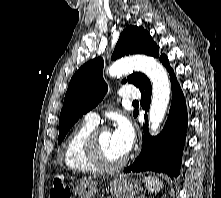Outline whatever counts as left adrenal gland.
<instances>
[{"label": "left adrenal gland", "mask_w": 221, "mask_h": 198, "mask_svg": "<svg viewBox=\"0 0 221 198\" xmlns=\"http://www.w3.org/2000/svg\"><path fill=\"white\" fill-rule=\"evenodd\" d=\"M137 198H145L143 195L141 197H137Z\"/></svg>", "instance_id": "a2214340"}]
</instances>
